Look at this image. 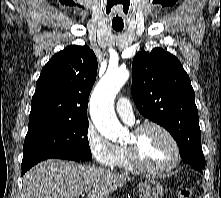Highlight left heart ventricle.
Returning <instances> with one entry per match:
<instances>
[{"label":"left heart ventricle","mask_w":221,"mask_h":198,"mask_svg":"<svg viewBox=\"0 0 221 198\" xmlns=\"http://www.w3.org/2000/svg\"><path fill=\"white\" fill-rule=\"evenodd\" d=\"M130 134L126 143L133 141ZM138 155L142 163L151 168L167 166L173 159V147L170 140L159 130L149 128L136 139Z\"/></svg>","instance_id":"b2bd125f"}]
</instances>
